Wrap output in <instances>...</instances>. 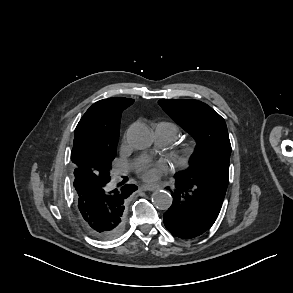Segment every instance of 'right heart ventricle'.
I'll list each match as a JSON object with an SVG mask.
<instances>
[{
  "mask_svg": "<svg viewBox=\"0 0 293 293\" xmlns=\"http://www.w3.org/2000/svg\"><path fill=\"white\" fill-rule=\"evenodd\" d=\"M159 124L167 127L171 131V133L173 134L174 139L178 136L179 129L174 123L165 121V122H160Z\"/></svg>",
  "mask_w": 293,
  "mask_h": 293,
  "instance_id": "1",
  "label": "right heart ventricle"
}]
</instances>
